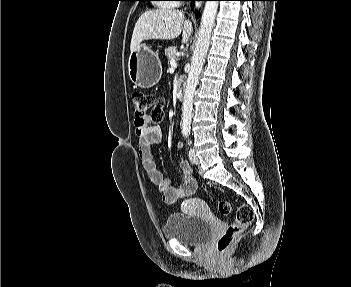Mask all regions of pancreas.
<instances>
[{"label": "pancreas", "instance_id": "obj_1", "mask_svg": "<svg viewBox=\"0 0 351 287\" xmlns=\"http://www.w3.org/2000/svg\"><path fill=\"white\" fill-rule=\"evenodd\" d=\"M176 53H177L176 47H168L167 49H165V56L167 57L168 62L176 58Z\"/></svg>", "mask_w": 351, "mask_h": 287}]
</instances>
